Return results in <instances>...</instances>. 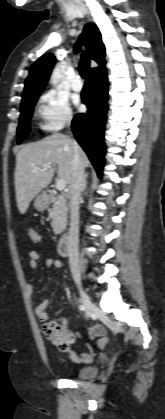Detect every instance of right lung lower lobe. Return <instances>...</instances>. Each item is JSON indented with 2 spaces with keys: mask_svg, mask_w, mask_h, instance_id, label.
Returning <instances> with one entry per match:
<instances>
[{
  "mask_svg": "<svg viewBox=\"0 0 165 419\" xmlns=\"http://www.w3.org/2000/svg\"><path fill=\"white\" fill-rule=\"evenodd\" d=\"M107 92L106 69L89 73L82 91V102L87 106L88 111L77 114L72 122L75 138L87 153L100 176L104 166V127L108 109Z\"/></svg>",
  "mask_w": 165,
  "mask_h": 419,
  "instance_id": "right-lung-lower-lobe-1",
  "label": "right lung lower lobe"
}]
</instances>
